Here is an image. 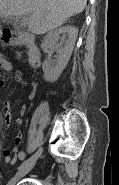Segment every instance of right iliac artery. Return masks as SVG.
Instances as JSON below:
<instances>
[{
	"label": "right iliac artery",
	"mask_w": 119,
	"mask_h": 185,
	"mask_svg": "<svg viewBox=\"0 0 119 185\" xmlns=\"http://www.w3.org/2000/svg\"><path fill=\"white\" fill-rule=\"evenodd\" d=\"M41 152H42V148H39V149L35 152V154L32 155L29 159H27L24 163H22V164L19 166L18 169L20 170L21 168H23V167H24L25 165H27L28 163H30V162L34 161L35 159H37V158L40 156Z\"/></svg>",
	"instance_id": "1"
}]
</instances>
